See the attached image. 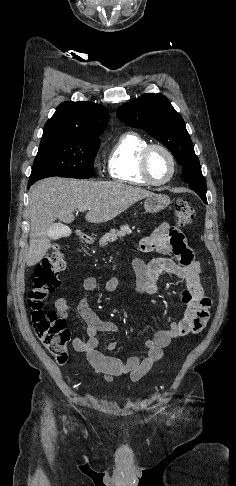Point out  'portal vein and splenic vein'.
Here are the masks:
<instances>
[{"mask_svg":"<svg viewBox=\"0 0 236 486\" xmlns=\"http://www.w3.org/2000/svg\"><path fill=\"white\" fill-rule=\"evenodd\" d=\"M85 210H87L86 208H81L80 211L81 212H84Z\"/></svg>","mask_w":236,"mask_h":486,"instance_id":"obj_1","label":"portal vein and splenic vein"}]
</instances>
